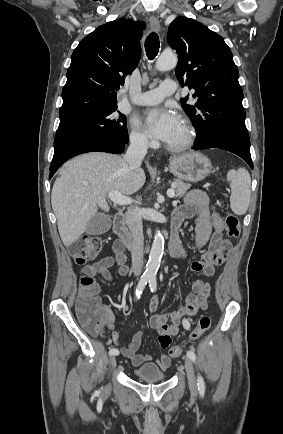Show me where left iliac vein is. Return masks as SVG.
Masks as SVG:
<instances>
[{"label": "left iliac vein", "instance_id": "4c4485c4", "mask_svg": "<svg viewBox=\"0 0 283 434\" xmlns=\"http://www.w3.org/2000/svg\"><path fill=\"white\" fill-rule=\"evenodd\" d=\"M185 369L187 372L189 388H190L192 393H196L197 392V380H196V376L194 373L193 365H192L189 358L185 359Z\"/></svg>", "mask_w": 283, "mask_h": 434}]
</instances>
